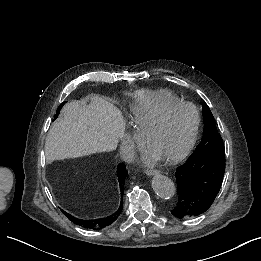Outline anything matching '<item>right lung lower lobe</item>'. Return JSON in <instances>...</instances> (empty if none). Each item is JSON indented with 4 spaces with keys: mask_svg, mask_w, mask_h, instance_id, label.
<instances>
[{
    "mask_svg": "<svg viewBox=\"0 0 261 261\" xmlns=\"http://www.w3.org/2000/svg\"><path fill=\"white\" fill-rule=\"evenodd\" d=\"M117 173H118V182H119L121 198H122L124 194V182L127 176V170L123 163H120L117 166ZM122 207H123V203L121 201L119 209L114 214L105 218H99L94 220H83V219L76 218L65 211L62 212L68 217L70 221H72L73 223L79 226H82L87 229L99 230L112 224L121 214Z\"/></svg>",
    "mask_w": 261,
    "mask_h": 261,
    "instance_id": "right-lung-lower-lobe-1",
    "label": "right lung lower lobe"
}]
</instances>
